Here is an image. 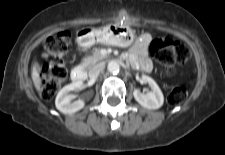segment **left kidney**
Masks as SVG:
<instances>
[{"label":"left kidney","instance_id":"left-kidney-1","mask_svg":"<svg viewBox=\"0 0 225 155\" xmlns=\"http://www.w3.org/2000/svg\"><path fill=\"white\" fill-rule=\"evenodd\" d=\"M142 80L148 83L152 91L143 94L135 89L133 92L135 100L147 109H159L164 102V96L157 83L149 76L143 75Z\"/></svg>","mask_w":225,"mask_h":155}]
</instances>
